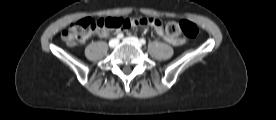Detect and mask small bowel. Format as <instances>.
I'll return each mask as SVG.
<instances>
[{
  "label": "small bowel",
  "mask_w": 276,
  "mask_h": 120,
  "mask_svg": "<svg viewBox=\"0 0 276 120\" xmlns=\"http://www.w3.org/2000/svg\"><path fill=\"white\" fill-rule=\"evenodd\" d=\"M152 27L154 28V30L156 31V33L162 37L167 43H170L174 46H178V45H182L184 43V39L181 38V37H172V36H169L164 28H163V25L161 23L160 20H155L152 24ZM97 33L98 35L102 36V37H106L108 35V31H101V32H95ZM92 35V33L86 35L84 37L83 40H81L82 42L86 41L90 36Z\"/></svg>",
  "instance_id": "small-bowel-1"
}]
</instances>
